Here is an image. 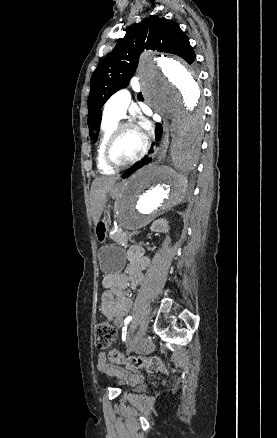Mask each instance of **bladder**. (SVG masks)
I'll return each mask as SVG.
<instances>
[{"label":"bladder","mask_w":277,"mask_h":438,"mask_svg":"<svg viewBox=\"0 0 277 438\" xmlns=\"http://www.w3.org/2000/svg\"><path fill=\"white\" fill-rule=\"evenodd\" d=\"M137 383H138V380L135 377H133V379L130 382L131 386H133V385H135Z\"/></svg>","instance_id":"bladder-1"}]
</instances>
